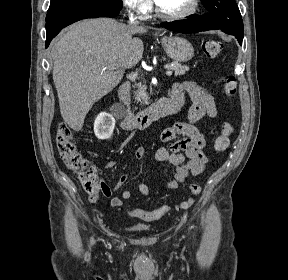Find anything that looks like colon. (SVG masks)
<instances>
[{
	"mask_svg": "<svg viewBox=\"0 0 288 280\" xmlns=\"http://www.w3.org/2000/svg\"><path fill=\"white\" fill-rule=\"evenodd\" d=\"M223 43L218 40L207 39L202 41L201 48L203 53L208 58H217L223 51ZM224 91L228 97H233L237 91V80L234 76H229L224 82ZM233 131L232 126L229 123H224L222 126L221 135H219L215 142L214 148L217 152L224 151L229 145V136ZM56 143L59 155L64 164L75 172L89 195H99L102 191V184L98 180L97 169L94 164L85 159L80 151L77 149L74 141L73 134L70 127L61 123L58 126L56 133ZM191 197L176 206L178 210H184L189 208L193 203L195 197L201 193V186L198 184H191L189 186ZM169 210L168 206H161L152 211L143 210L140 208H134L128 211L131 217L139 218L145 221H153L161 218Z\"/></svg>",
	"mask_w": 288,
	"mask_h": 280,
	"instance_id": "1",
	"label": "colon"
}]
</instances>
